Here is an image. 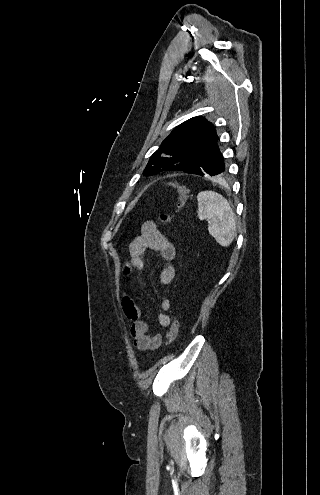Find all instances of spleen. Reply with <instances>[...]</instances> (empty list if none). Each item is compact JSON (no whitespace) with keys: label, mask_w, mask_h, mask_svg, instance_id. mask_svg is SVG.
<instances>
[{"label":"spleen","mask_w":320,"mask_h":495,"mask_svg":"<svg viewBox=\"0 0 320 495\" xmlns=\"http://www.w3.org/2000/svg\"><path fill=\"white\" fill-rule=\"evenodd\" d=\"M197 214L200 220H207L209 234L216 242L228 247L236 236L235 214L229 202L214 191H201L197 195Z\"/></svg>","instance_id":"obj_1"}]
</instances>
